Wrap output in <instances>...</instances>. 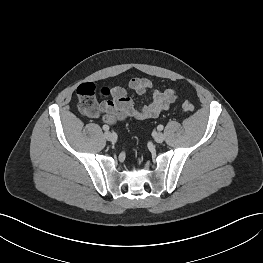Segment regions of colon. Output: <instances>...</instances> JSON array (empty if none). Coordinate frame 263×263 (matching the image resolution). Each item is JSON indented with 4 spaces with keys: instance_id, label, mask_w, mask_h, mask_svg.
<instances>
[{
    "instance_id": "5ec220e1",
    "label": "colon",
    "mask_w": 263,
    "mask_h": 263,
    "mask_svg": "<svg viewBox=\"0 0 263 263\" xmlns=\"http://www.w3.org/2000/svg\"><path fill=\"white\" fill-rule=\"evenodd\" d=\"M110 94L106 87L99 89L93 83H82L78 86L76 95L79 108L86 114L93 111L97 105V97L104 98ZM182 108L185 112H192L194 105L190 102H184Z\"/></svg>"
}]
</instances>
